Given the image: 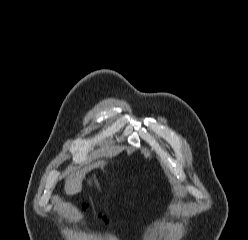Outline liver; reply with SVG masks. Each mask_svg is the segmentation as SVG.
I'll list each match as a JSON object with an SVG mask.
<instances>
[{
    "instance_id": "1",
    "label": "liver",
    "mask_w": 248,
    "mask_h": 240,
    "mask_svg": "<svg viewBox=\"0 0 248 240\" xmlns=\"http://www.w3.org/2000/svg\"><path fill=\"white\" fill-rule=\"evenodd\" d=\"M100 164L104 165L105 163L102 161ZM87 168L72 173L65 179V192L67 195H75L82 190V182L85 178Z\"/></svg>"
}]
</instances>
